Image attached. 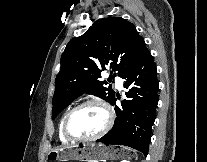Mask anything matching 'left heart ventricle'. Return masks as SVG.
I'll return each mask as SVG.
<instances>
[{"mask_svg": "<svg viewBox=\"0 0 207 162\" xmlns=\"http://www.w3.org/2000/svg\"><path fill=\"white\" fill-rule=\"evenodd\" d=\"M103 108L89 105L76 112L68 123V131L74 137H87L98 133L105 125Z\"/></svg>", "mask_w": 207, "mask_h": 162, "instance_id": "b2bd125f", "label": "left heart ventricle"}]
</instances>
